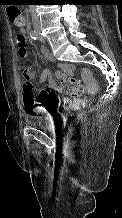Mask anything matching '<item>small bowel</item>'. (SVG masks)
<instances>
[{"instance_id": "small-bowel-1", "label": "small bowel", "mask_w": 122, "mask_h": 218, "mask_svg": "<svg viewBox=\"0 0 122 218\" xmlns=\"http://www.w3.org/2000/svg\"><path fill=\"white\" fill-rule=\"evenodd\" d=\"M23 36L25 34V32L21 33ZM43 56L48 59V60H52V56L50 54V52L47 49H42L41 50ZM73 73V66L67 63H60L59 64V71L56 73V76L59 80L63 81L66 78H70V76ZM29 76L30 79H33L35 74L33 72V70H29ZM46 79H49V87L51 89H54L56 91H61L62 87L61 86H57V84L55 83V81L52 79V73L49 69H45L40 77V81L44 82ZM97 87V83L95 81H93ZM49 97H50V92L42 89L39 91L37 96H34V104L37 110V113H44L45 112V106L48 104L49 101ZM67 103L69 104H75V102H72L70 100H65Z\"/></svg>"}]
</instances>
